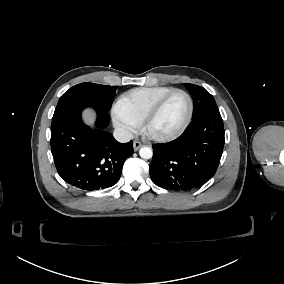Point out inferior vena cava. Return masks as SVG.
Segmentation results:
<instances>
[{
    "label": "inferior vena cava",
    "mask_w": 284,
    "mask_h": 284,
    "mask_svg": "<svg viewBox=\"0 0 284 284\" xmlns=\"http://www.w3.org/2000/svg\"><path fill=\"white\" fill-rule=\"evenodd\" d=\"M113 135L114 138L121 143H126L133 139V134L123 127L116 128Z\"/></svg>",
    "instance_id": "obj_1"
}]
</instances>
